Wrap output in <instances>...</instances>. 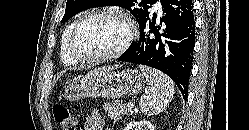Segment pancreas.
I'll return each mask as SVG.
<instances>
[{"mask_svg":"<svg viewBox=\"0 0 249 130\" xmlns=\"http://www.w3.org/2000/svg\"><path fill=\"white\" fill-rule=\"evenodd\" d=\"M104 109L108 112L109 119L114 122H117L122 116L131 112L130 109H127L126 104L122 100H117L112 105H106Z\"/></svg>","mask_w":249,"mask_h":130,"instance_id":"cf45deb5","label":"pancreas"}]
</instances>
